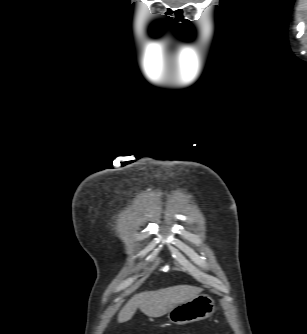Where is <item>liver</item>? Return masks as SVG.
Wrapping results in <instances>:
<instances>
[{
	"mask_svg": "<svg viewBox=\"0 0 307 334\" xmlns=\"http://www.w3.org/2000/svg\"><path fill=\"white\" fill-rule=\"evenodd\" d=\"M201 291L198 287L178 285L136 294L120 310L117 321H129L138 308L149 317L163 316L176 305L198 296Z\"/></svg>",
	"mask_w": 307,
	"mask_h": 334,
	"instance_id": "obj_1",
	"label": "liver"
}]
</instances>
